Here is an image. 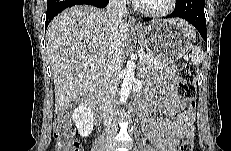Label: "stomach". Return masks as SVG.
Instances as JSON below:
<instances>
[{"mask_svg":"<svg viewBox=\"0 0 231 151\" xmlns=\"http://www.w3.org/2000/svg\"><path fill=\"white\" fill-rule=\"evenodd\" d=\"M134 35L149 54L167 62L180 59L191 47L189 34L173 20L154 21Z\"/></svg>","mask_w":231,"mask_h":151,"instance_id":"1","label":"stomach"}]
</instances>
